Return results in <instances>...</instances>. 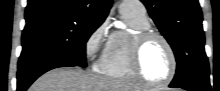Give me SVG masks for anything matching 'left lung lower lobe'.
I'll return each mask as SVG.
<instances>
[{"mask_svg":"<svg viewBox=\"0 0 220 91\" xmlns=\"http://www.w3.org/2000/svg\"><path fill=\"white\" fill-rule=\"evenodd\" d=\"M170 87L173 86L170 85ZM179 87L188 91H210V83L205 82H192L185 85H181Z\"/></svg>","mask_w":220,"mask_h":91,"instance_id":"0a47b994","label":"left lung lower lobe"}]
</instances>
